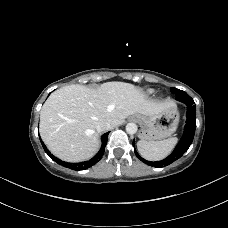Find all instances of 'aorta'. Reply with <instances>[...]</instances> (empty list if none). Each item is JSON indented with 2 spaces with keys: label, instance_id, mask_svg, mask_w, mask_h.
<instances>
[{
  "label": "aorta",
  "instance_id": "1",
  "mask_svg": "<svg viewBox=\"0 0 228 228\" xmlns=\"http://www.w3.org/2000/svg\"><path fill=\"white\" fill-rule=\"evenodd\" d=\"M126 132L128 134H135L137 132V125L135 123H128L126 125Z\"/></svg>",
  "mask_w": 228,
  "mask_h": 228
}]
</instances>
